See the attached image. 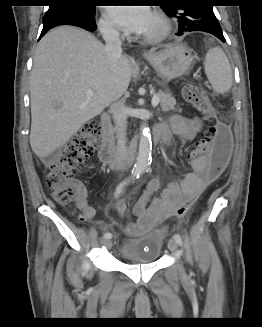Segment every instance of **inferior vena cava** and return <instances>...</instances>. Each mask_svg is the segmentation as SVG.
I'll return each instance as SVG.
<instances>
[{"instance_id": "602c4592", "label": "inferior vena cava", "mask_w": 262, "mask_h": 327, "mask_svg": "<svg viewBox=\"0 0 262 327\" xmlns=\"http://www.w3.org/2000/svg\"><path fill=\"white\" fill-rule=\"evenodd\" d=\"M101 33L106 43L105 50L108 55L111 67H114L122 56V42L120 39V33L109 25L102 26ZM112 117L117 128V161L121 163L122 160L125 159L127 153V113L123 104L117 102L113 105Z\"/></svg>"}]
</instances>
